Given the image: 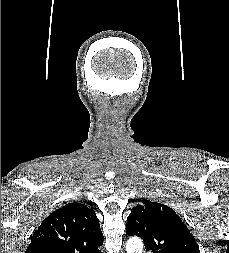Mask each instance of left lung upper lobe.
Segmentation results:
<instances>
[{
	"label": "left lung upper lobe",
	"mask_w": 229,
	"mask_h": 253,
	"mask_svg": "<svg viewBox=\"0 0 229 253\" xmlns=\"http://www.w3.org/2000/svg\"><path fill=\"white\" fill-rule=\"evenodd\" d=\"M127 218L126 233L143 239L149 253H200L187 226L175 211L158 202L143 200Z\"/></svg>",
	"instance_id": "obj_1"
}]
</instances>
